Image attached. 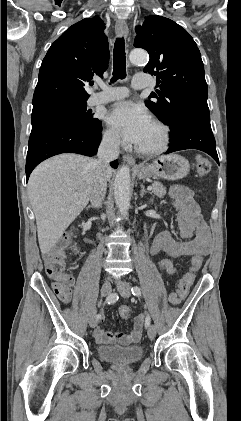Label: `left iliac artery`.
Segmentation results:
<instances>
[{
  "mask_svg": "<svg viewBox=\"0 0 241 421\" xmlns=\"http://www.w3.org/2000/svg\"><path fill=\"white\" fill-rule=\"evenodd\" d=\"M131 292H132V294L134 296H138L139 297L141 295V289L138 286L132 287L131 288ZM150 321H151L150 315H147L146 316V320H145V327L146 328L149 327Z\"/></svg>",
  "mask_w": 241,
  "mask_h": 421,
  "instance_id": "1",
  "label": "left iliac artery"
}]
</instances>
